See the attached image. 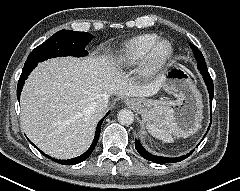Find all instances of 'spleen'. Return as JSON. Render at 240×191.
<instances>
[{
	"label": "spleen",
	"mask_w": 240,
	"mask_h": 191,
	"mask_svg": "<svg viewBox=\"0 0 240 191\" xmlns=\"http://www.w3.org/2000/svg\"><path fill=\"white\" fill-rule=\"evenodd\" d=\"M147 129L153 137L166 143L173 142L172 135L188 137L198 130L196 129L193 133L180 132L174 127V124L171 122V118L168 115H159L156 118L148 121Z\"/></svg>",
	"instance_id": "spleen-1"
}]
</instances>
